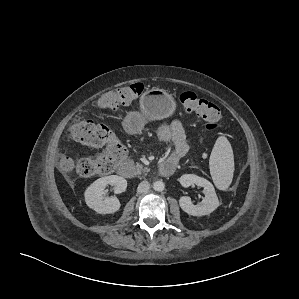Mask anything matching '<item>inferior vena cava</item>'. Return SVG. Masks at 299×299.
Masks as SVG:
<instances>
[{
  "instance_id": "obj_1",
  "label": "inferior vena cava",
  "mask_w": 299,
  "mask_h": 299,
  "mask_svg": "<svg viewBox=\"0 0 299 299\" xmlns=\"http://www.w3.org/2000/svg\"><path fill=\"white\" fill-rule=\"evenodd\" d=\"M150 189V183L148 181H142L138 187L137 192L139 194L146 193Z\"/></svg>"
}]
</instances>
